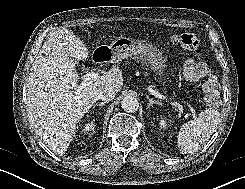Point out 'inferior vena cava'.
I'll list each match as a JSON object with an SVG mask.
<instances>
[{"instance_id":"1","label":"inferior vena cava","mask_w":245,"mask_h":189,"mask_svg":"<svg viewBox=\"0 0 245 189\" xmlns=\"http://www.w3.org/2000/svg\"><path fill=\"white\" fill-rule=\"evenodd\" d=\"M115 91L111 88H106V89H102L99 91L98 95H97V99H100L102 101H111L114 99L115 97Z\"/></svg>"}]
</instances>
